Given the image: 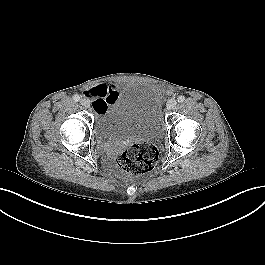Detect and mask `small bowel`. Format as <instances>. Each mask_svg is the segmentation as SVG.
<instances>
[{
	"label": "small bowel",
	"instance_id": "small-bowel-1",
	"mask_svg": "<svg viewBox=\"0 0 265 265\" xmlns=\"http://www.w3.org/2000/svg\"><path fill=\"white\" fill-rule=\"evenodd\" d=\"M119 94V87L114 83H104L85 91V95L93 100V108L97 113H103L107 106Z\"/></svg>",
	"mask_w": 265,
	"mask_h": 265
}]
</instances>
